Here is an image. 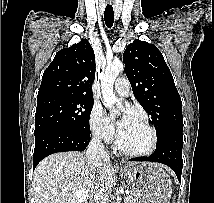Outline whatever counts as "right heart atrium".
Segmentation results:
<instances>
[{
    "label": "right heart atrium",
    "instance_id": "obj_1",
    "mask_svg": "<svg viewBox=\"0 0 214 203\" xmlns=\"http://www.w3.org/2000/svg\"><path fill=\"white\" fill-rule=\"evenodd\" d=\"M89 127L93 136L104 142L112 141L115 136L112 123L97 104L92 107L89 117Z\"/></svg>",
    "mask_w": 214,
    "mask_h": 203
}]
</instances>
